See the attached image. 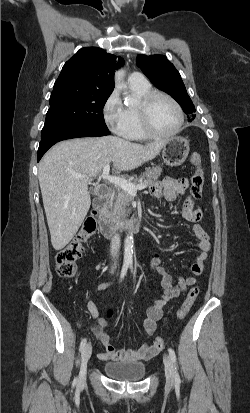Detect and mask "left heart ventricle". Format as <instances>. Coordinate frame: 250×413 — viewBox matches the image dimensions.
Masks as SVG:
<instances>
[{"instance_id": "b2bd125f", "label": "left heart ventricle", "mask_w": 250, "mask_h": 413, "mask_svg": "<svg viewBox=\"0 0 250 413\" xmlns=\"http://www.w3.org/2000/svg\"><path fill=\"white\" fill-rule=\"evenodd\" d=\"M179 121V116L174 105L164 97H157L151 106V122L153 128L159 133L173 131Z\"/></svg>"}]
</instances>
